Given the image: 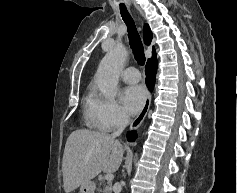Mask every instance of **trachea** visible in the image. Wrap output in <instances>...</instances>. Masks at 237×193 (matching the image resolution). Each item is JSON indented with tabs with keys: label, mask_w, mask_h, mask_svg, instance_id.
<instances>
[{
	"label": "trachea",
	"mask_w": 237,
	"mask_h": 193,
	"mask_svg": "<svg viewBox=\"0 0 237 193\" xmlns=\"http://www.w3.org/2000/svg\"><path fill=\"white\" fill-rule=\"evenodd\" d=\"M120 13H121L123 21L125 22L127 26L129 44L133 51L134 57L136 61L138 62V64L144 65L145 64L144 48H143L139 33L136 29L134 20L128 13L125 6H120Z\"/></svg>",
	"instance_id": "1"
}]
</instances>
